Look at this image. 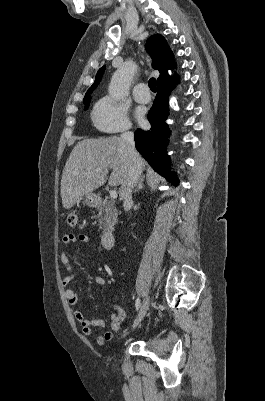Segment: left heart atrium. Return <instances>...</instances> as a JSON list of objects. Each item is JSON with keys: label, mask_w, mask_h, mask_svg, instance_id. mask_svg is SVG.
Returning <instances> with one entry per match:
<instances>
[{"label": "left heart atrium", "mask_w": 265, "mask_h": 401, "mask_svg": "<svg viewBox=\"0 0 265 401\" xmlns=\"http://www.w3.org/2000/svg\"><path fill=\"white\" fill-rule=\"evenodd\" d=\"M136 114H137V117H138V119H139V120H141V119H142V117H143V113H142V111H141L140 109H137V112H136Z\"/></svg>", "instance_id": "obj_1"}]
</instances>
